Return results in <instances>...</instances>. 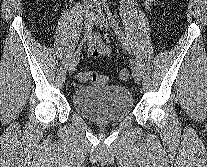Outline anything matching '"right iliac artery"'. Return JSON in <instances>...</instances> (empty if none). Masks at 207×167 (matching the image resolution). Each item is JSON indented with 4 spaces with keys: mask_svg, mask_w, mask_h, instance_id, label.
Instances as JSON below:
<instances>
[{
    "mask_svg": "<svg viewBox=\"0 0 207 167\" xmlns=\"http://www.w3.org/2000/svg\"><path fill=\"white\" fill-rule=\"evenodd\" d=\"M95 21V20H94ZM92 27H93V23L92 25L85 31L84 33V36L82 38V40L80 41L78 47H77V50L75 53L79 52L80 49L82 48V46L84 45V43L88 40V38L90 37L91 35V31H92Z\"/></svg>",
    "mask_w": 207,
    "mask_h": 167,
    "instance_id": "right-iliac-artery-1",
    "label": "right iliac artery"
}]
</instances>
